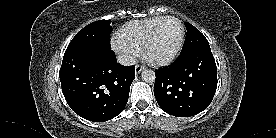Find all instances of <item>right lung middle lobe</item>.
<instances>
[{
  "instance_id": "right-lung-middle-lobe-1",
  "label": "right lung middle lobe",
  "mask_w": 276,
  "mask_h": 138,
  "mask_svg": "<svg viewBox=\"0 0 276 138\" xmlns=\"http://www.w3.org/2000/svg\"><path fill=\"white\" fill-rule=\"evenodd\" d=\"M110 23V20H99L85 26L72 39L66 51L85 46L111 48L110 34L112 32V27L110 26Z\"/></svg>"
}]
</instances>
